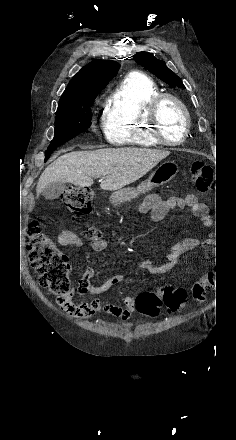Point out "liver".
I'll return each mask as SVG.
<instances>
[{"label":"liver","mask_w":236,"mask_h":440,"mask_svg":"<svg viewBox=\"0 0 236 440\" xmlns=\"http://www.w3.org/2000/svg\"><path fill=\"white\" fill-rule=\"evenodd\" d=\"M169 154V151L131 147L72 151L43 171L36 187L37 197L50 183L60 181L85 187L93 184L92 177H103L100 183L103 190H121L143 177Z\"/></svg>","instance_id":"obj_1"}]
</instances>
